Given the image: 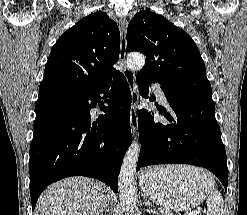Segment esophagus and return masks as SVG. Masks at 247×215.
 <instances>
[{"label":"esophagus","instance_id":"esophagus-1","mask_svg":"<svg viewBox=\"0 0 247 215\" xmlns=\"http://www.w3.org/2000/svg\"><path fill=\"white\" fill-rule=\"evenodd\" d=\"M128 21L126 18H121L119 20V29L121 34V44H120V54H119V63L122 65V73L127 80L131 91V109H130V125L131 131L134 138L136 137L138 130V116H137V104L139 100L138 90L136 85L135 73L131 69H129L126 65V32H127Z\"/></svg>","mask_w":247,"mask_h":215}]
</instances>
